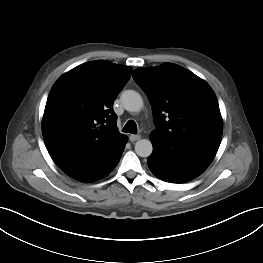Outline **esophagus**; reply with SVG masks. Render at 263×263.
<instances>
[{
	"label": "esophagus",
	"mask_w": 263,
	"mask_h": 263,
	"mask_svg": "<svg viewBox=\"0 0 263 263\" xmlns=\"http://www.w3.org/2000/svg\"><path fill=\"white\" fill-rule=\"evenodd\" d=\"M140 138H141L140 135H134V134L130 135V137H129L131 142H135V141L139 140Z\"/></svg>",
	"instance_id": "esophagus-1"
}]
</instances>
